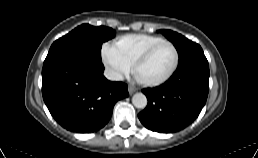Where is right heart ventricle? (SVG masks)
Listing matches in <instances>:
<instances>
[{"label": "right heart ventricle", "instance_id": "e07e8e85", "mask_svg": "<svg viewBox=\"0 0 258 158\" xmlns=\"http://www.w3.org/2000/svg\"><path fill=\"white\" fill-rule=\"evenodd\" d=\"M160 40V38L146 36L126 38L118 42L114 48L128 65H132L146 50L156 45Z\"/></svg>", "mask_w": 258, "mask_h": 158}]
</instances>
